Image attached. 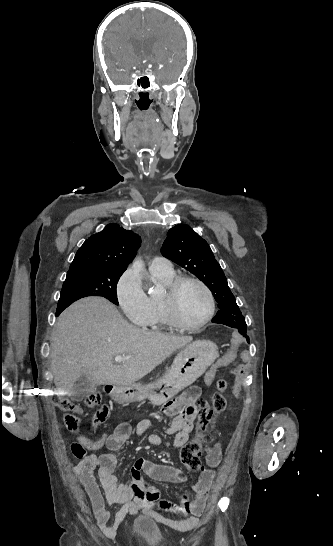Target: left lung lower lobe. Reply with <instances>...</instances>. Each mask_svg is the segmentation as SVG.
<instances>
[{"instance_id":"0a47b994","label":"left lung lower lobe","mask_w":333,"mask_h":546,"mask_svg":"<svg viewBox=\"0 0 333 546\" xmlns=\"http://www.w3.org/2000/svg\"><path fill=\"white\" fill-rule=\"evenodd\" d=\"M212 322L213 323H219V324H224V325H227V326H230L232 327L231 325H229L230 323L226 322L224 317L220 314V315H216L213 319H212ZM232 328H236V327H232ZM238 331L240 332L241 335H243L247 341L249 342V337L247 336V327H244V328H237Z\"/></svg>"}]
</instances>
